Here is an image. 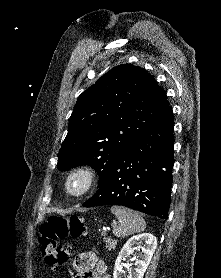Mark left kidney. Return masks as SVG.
I'll return each mask as SVG.
<instances>
[{
    "mask_svg": "<svg viewBox=\"0 0 221 278\" xmlns=\"http://www.w3.org/2000/svg\"><path fill=\"white\" fill-rule=\"evenodd\" d=\"M157 247V239L150 233H142L131 237L121 249L114 267L113 278H123V260L127 255L132 254L137 248H141L140 259L134 262L136 266L133 273L127 278H143V275L151 261Z\"/></svg>",
    "mask_w": 221,
    "mask_h": 278,
    "instance_id": "left-kidney-1",
    "label": "left kidney"
}]
</instances>
